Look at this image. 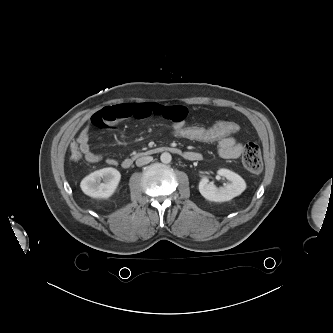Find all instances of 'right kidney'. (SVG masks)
<instances>
[{"label":"right kidney","instance_id":"right-kidney-1","mask_svg":"<svg viewBox=\"0 0 333 333\" xmlns=\"http://www.w3.org/2000/svg\"><path fill=\"white\" fill-rule=\"evenodd\" d=\"M121 179L120 172L112 167L96 170L80 183L82 191L93 198H108L114 194Z\"/></svg>","mask_w":333,"mask_h":333}]
</instances>
